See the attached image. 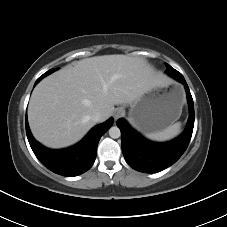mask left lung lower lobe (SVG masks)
Masks as SVG:
<instances>
[{
	"label": "left lung lower lobe",
	"mask_w": 227,
	"mask_h": 227,
	"mask_svg": "<svg viewBox=\"0 0 227 227\" xmlns=\"http://www.w3.org/2000/svg\"><path fill=\"white\" fill-rule=\"evenodd\" d=\"M170 76L185 86L190 110L187 127L179 137L166 143L151 142L132 129L124 119L117 121L124 158L133 169L140 172L155 173L174 164L185 152L192 136L194 105L189 87L181 73L171 72Z\"/></svg>",
	"instance_id": "left-lung-lower-lobe-1"
}]
</instances>
